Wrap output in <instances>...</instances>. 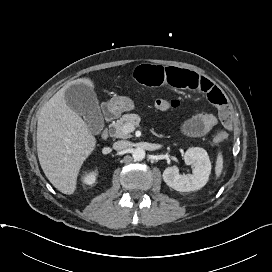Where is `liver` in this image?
<instances>
[{
  "label": "liver",
  "instance_id": "6515ba94",
  "mask_svg": "<svg viewBox=\"0 0 272 272\" xmlns=\"http://www.w3.org/2000/svg\"><path fill=\"white\" fill-rule=\"evenodd\" d=\"M94 87L89 78L73 82ZM66 85L41 108L37 126V152L43 172L60 192L71 195L83 162L93 152L96 138L79 114L65 101Z\"/></svg>",
  "mask_w": 272,
  "mask_h": 272
}]
</instances>
